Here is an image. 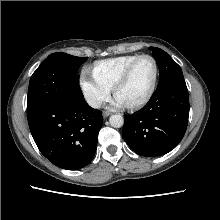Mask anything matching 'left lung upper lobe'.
<instances>
[{
    "mask_svg": "<svg viewBox=\"0 0 220 220\" xmlns=\"http://www.w3.org/2000/svg\"><path fill=\"white\" fill-rule=\"evenodd\" d=\"M150 50L159 67L160 78L157 89L173 81L184 80L181 67L165 51L156 47H150Z\"/></svg>",
    "mask_w": 220,
    "mask_h": 220,
    "instance_id": "left-lung-upper-lobe-1",
    "label": "left lung upper lobe"
}]
</instances>
